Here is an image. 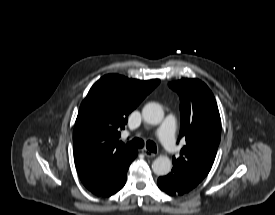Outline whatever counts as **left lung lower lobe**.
I'll return each instance as SVG.
<instances>
[{"instance_id":"left-lung-lower-lobe-1","label":"left lung lower lobe","mask_w":275,"mask_h":215,"mask_svg":"<svg viewBox=\"0 0 275 215\" xmlns=\"http://www.w3.org/2000/svg\"><path fill=\"white\" fill-rule=\"evenodd\" d=\"M203 179L173 166L171 172L157 180L158 187L169 195H182L194 189Z\"/></svg>"}]
</instances>
